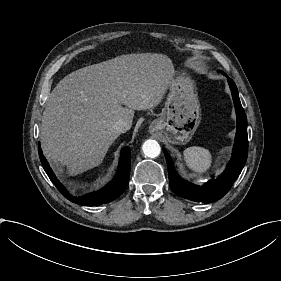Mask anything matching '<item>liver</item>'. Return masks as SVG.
<instances>
[{
    "instance_id": "obj_1",
    "label": "liver",
    "mask_w": 281,
    "mask_h": 281,
    "mask_svg": "<svg viewBox=\"0 0 281 281\" xmlns=\"http://www.w3.org/2000/svg\"><path fill=\"white\" fill-rule=\"evenodd\" d=\"M174 77L171 59L157 53L121 55L68 74L43 112L44 155L70 175L100 165L120 135L114 123L132 124L134 110L156 107L176 83Z\"/></svg>"
}]
</instances>
